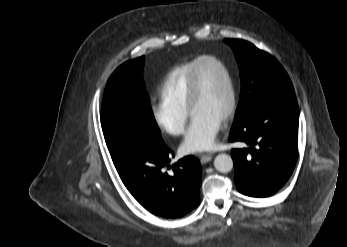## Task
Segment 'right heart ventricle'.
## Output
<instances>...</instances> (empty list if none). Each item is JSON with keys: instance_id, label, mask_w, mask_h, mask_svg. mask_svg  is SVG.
I'll return each instance as SVG.
<instances>
[{"instance_id": "right-heart-ventricle-1", "label": "right heart ventricle", "mask_w": 347, "mask_h": 247, "mask_svg": "<svg viewBox=\"0 0 347 247\" xmlns=\"http://www.w3.org/2000/svg\"><path fill=\"white\" fill-rule=\"evenodd\" d=\"M198 58L174 67L165 77L160 86L161 100L178 108L186 109L188 86L191 71Z\"/></svg>"}]
</instances>
